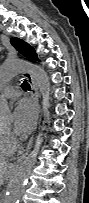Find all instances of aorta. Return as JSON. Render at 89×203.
I'll return each instance as SVG.
<instances>
[{"instance_id": "1", "label": "aorta", "mask_w": 89, "mask_h": 203, "mask_svg": "<svg viewBox=\"0 0 89 203\" xmlns=\"http://www.w3.org/2000/svg\"><path fill=\"white\" fill-rule=\"evenodd\" d=\"M25 72L30 73L36 81L37 87L39 88L42 96L43 116L46 119L49 116L48 109L50 106L51 85L49 77L42 67L20 59L7 60L0 68V82L2 84H5L13 79L15 76ZM12 119V112L7 101H1L0 128L8 129L12 123ZM45 129V126L41 127V131L35 139L33 150L28 154V156L18 167L17 171L11 177L2 203L20 202L29 176L37 162V157L43 143V131Z\"/></svg>"}]
</instances>
